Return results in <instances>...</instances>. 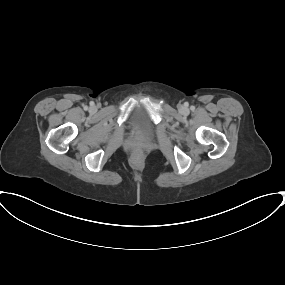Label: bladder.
<instances>
[{"mask_svg": "<svg viewBox=\"0 0 285 285\" xmlns=\"http://www.w3.org/2000/svg\"><path fill=\"white\" fill-rule=\"evenodd\" d=\"M133 130L140 136L148 137L153 133L154 127L147 112L141 108H135L130 117Z\"/></svg>", "mask_w": 285, "mask_h": 285, "instance_id": "obj_1", "label": "bladder"}]
</instances>
